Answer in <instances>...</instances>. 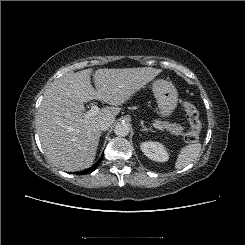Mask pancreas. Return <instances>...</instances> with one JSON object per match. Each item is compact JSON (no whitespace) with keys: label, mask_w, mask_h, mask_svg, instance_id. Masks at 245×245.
<instances>
[{"label":"pancreas","mask_w":245,"mask_h":245,"mask_svg":"<svg viewBox=\"0 0 245 245\" xmlns=\"http://www.w3.org/2000/svg\"><path fill=\"white\" fill-rule=\"evenodd\" d=\"M155 123L162 124L166 130H168L173 135H184V128L180 124L168 123L156 120Z\"/></svg>","instance_id":"cf45deb5"}]
</instances>
